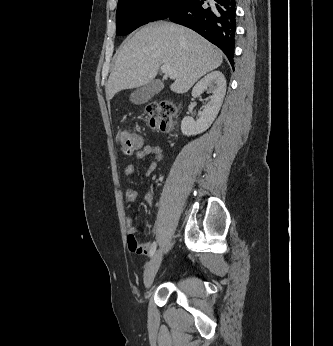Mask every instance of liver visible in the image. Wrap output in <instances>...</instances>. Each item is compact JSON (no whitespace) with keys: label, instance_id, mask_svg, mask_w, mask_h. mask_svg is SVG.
Segmentation results:
<instances>
[{"label":"liver","instance_id":"liver-1","mask_svg":"<svg viewBox=\"0 0 333 346\" xmlns=\"http://www.w3.org/2000/svg\"><path fill=\"white\" fill-rule=\"evenodd\" d=\"M222 62L221 51L191 29L166 22L151 23L128 37L118 49L106 96L111 100L119 91L148 84L162 65L177 73L171 91L185 93Z\"/></svg>","mask_w":333,"mask_h":346}]
</instances>
